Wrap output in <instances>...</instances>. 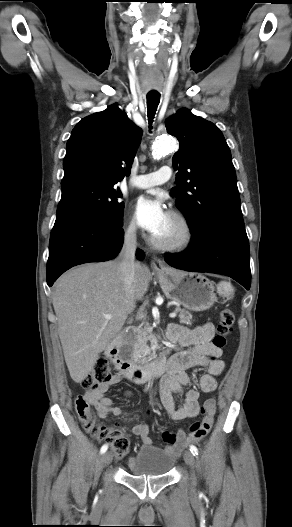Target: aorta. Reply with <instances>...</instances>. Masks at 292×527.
I'll list each match as a JSON object with an SVG mask.
<instances>
[{"mask_svg": "<svg viewBox=\"0 0 292 527\" xmlns=\"http://www.w3.org/2000/svg\"><path fill=\"white\" fill-rule=\"evenodd\" d=\"M174 149V141L170 136H162L155 140L153 144V154L160 157L170 153Z\"/></svg>", "mask_w": 292, "mask_h": 527, "instance_id": "1", "label": "aorta"}]
</instances>
